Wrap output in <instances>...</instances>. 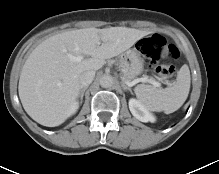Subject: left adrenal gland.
<instances>
[{
    "instance_id": "left-adrenal-gland-1",
    "label": "left adrenal gland",
    "mask_w": 219,
    "mask_h": 174,
    "mask_svg": "<svg viewBox=\"0 0 219 174\" xmlns=\"http://www.w3.org/2000/svg\"><path fill=\"white\" fill-rule=\"evenodd\" d=\"M122 85H123V89H124V90H128V91H130V92L132 93L131 88L128 87V86H126L124 82H122Z\"/></svg>"
}]
</instances>
